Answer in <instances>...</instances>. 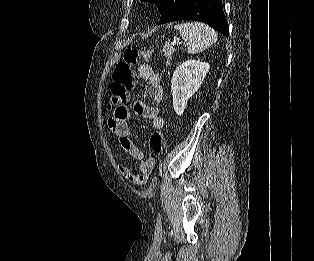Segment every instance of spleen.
I'll return each instance as SVG.
<instances>
[{"mask_svg": "<svg viewBox=\"0 0 314 261\" xmlns=\"http://www.w3.org/2000/svg\"><path fill=\"white\" fill-rule=\"evenodd\" d=\"M190 54L199 53L211 47L217 41V33L208 25L200 22L181 23L175 25Z\"/></svg>", "mask_w": 314, "mask_h": 261, "instance_id": "3e777b00", "label": "spleen"}]
</instances>
